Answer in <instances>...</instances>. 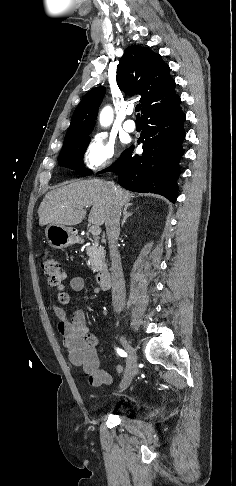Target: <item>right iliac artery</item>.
Wrapping results in <instances>:
<instances>
[{
  "mask_svg": "<svg viewBox=\"0 0 236 486\" xmlns=\"http://www.w3.org/2000/svg\"><path fill=\"white\" fill-rule=\"evenodd\" d=\"M116 350H117V353H118V354H119L121 357H127V353H126L124 350H122V349H120V348H117Z\"/></svg>",
  "mask_w": 236,
  "mask_h": 486,
  "instance_id": "1",
  "label": "right iliac artery"
}]
</instances>
